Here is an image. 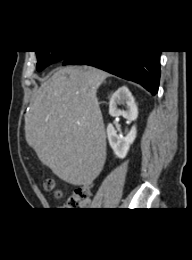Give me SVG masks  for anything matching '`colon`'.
Wrapping results in <instances>:
<instances>
[{"mask_svg":"<svg viewBox=\"0 0 192 260\" xmlns=\"http://www.w3.org/2000/svg\"><path fill=\"white\" fill-rule=\"evenodd\" d=\"M44 188L48 191H54L56 197L61 196V192L56 189V183L52 178H46L44 180ZM90 196L89 185L77 188L65 203V210H75L86 207L90 202Z\"/></svg>","mask_w":192,"mask_h":260,"instance_id":"1","label":"colon"}]
</instances>
